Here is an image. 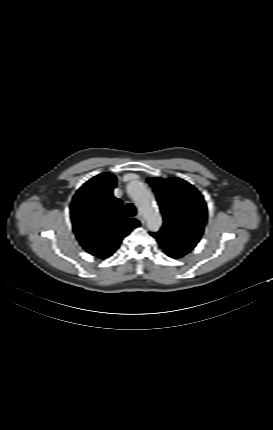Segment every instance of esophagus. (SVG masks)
Here are the masks:
<instances>
[{"label":"esophagus","instance_id":"obj_1","mask_svg":"<svg viewBox=\"0 0 273 430\" xmlns=\"http://www.w3.org/2000/svg\"><path fill=\"white\" fill-rule=\"evenodd\" d=\"M137 219L143 224L145 222L144 217L142 214L137 215Z\"/></svg>","mask_w":273,"mask_h":430}]
</instances>
